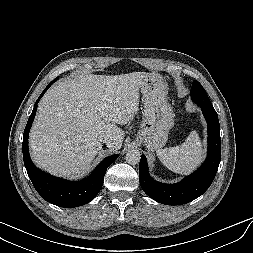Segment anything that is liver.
<instances>
[{
	"mask_svg": "<svg viewBox=\"0 0 253 253\" xmlns=\"http://www.w3.org/2000/svg\"><path fill=\"white\" fill-rule=\"evenodd\" d=\"M156 74H81L52 86L38 104L29 135L33 162L47 172L77 179L90 168L110 137V149L121 148L127 124L137 113L139 89Z\"/></svg>",
	"mask_w": 253,
	"mask_h": 253,
	"instance_id": "obj_1",
	"label": "liver"
}]
</instances>
